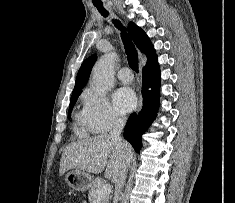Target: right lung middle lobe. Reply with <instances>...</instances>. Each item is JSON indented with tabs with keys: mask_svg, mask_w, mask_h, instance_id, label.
<instances>
[{
	"mask_svg": "<svg viewBox=\"0 0 235 203\" xmlns=\"http://www.w3.org/2000/svg\"><path fill=\"white\" fill-rule=\"evenodd\" d=\"M79 95H80V93H76V94H72V96H71L70 105H69V116L71 115L72 109H73L74 104L76 103Z\"/></svg>",
	"mask_w": 235,
	"mask_h": 203,
	"instance_id": "right-lung-middle-lobe-1",
	"label": "right lung middle lobe"
}]
</instances>
